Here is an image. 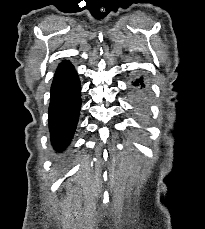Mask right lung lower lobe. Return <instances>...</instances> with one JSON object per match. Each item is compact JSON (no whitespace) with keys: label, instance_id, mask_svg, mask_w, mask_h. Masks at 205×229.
<instances>
[{"label":"right lung lower lobe","instance_id":"obj_1","mask_svg":"<svg viewBox=\"0 0 205 229\" xmlns=\"http://www.w3.org/2000/svg\"><path fill=\"white\" fill-rule=\"evenodd\" d=\"M80 90L74 67L63 61L53 78L49 105L51 142L57 151L68 146L75 132L81 107Z\"/></svg>","mask_w":205,"mask_h":229}]
</instances>
